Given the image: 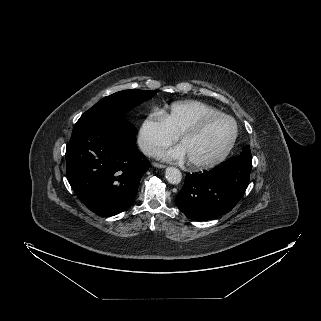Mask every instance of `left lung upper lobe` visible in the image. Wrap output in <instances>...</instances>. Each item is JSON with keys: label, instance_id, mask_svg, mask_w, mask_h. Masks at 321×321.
<instances>
[{"label": "left lung upper lobe", "instance_id": "1", "mask_svg": "<svg viewBox=\"0 0 321 321\" xmlns=\"http://www.w3.org/2000/svg\"><path fill=\"white\" fill-rule=\"evenodd\" d=\"M241 154H242V155H245V156L251 157L250 147H249V146L244 147V149H243V151L241 152Z\"/></svg>", "mask_w": 321, "mask_h": 321}]
</instances>
